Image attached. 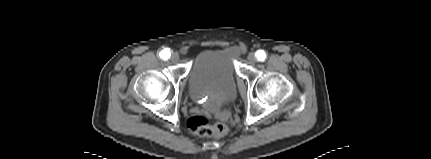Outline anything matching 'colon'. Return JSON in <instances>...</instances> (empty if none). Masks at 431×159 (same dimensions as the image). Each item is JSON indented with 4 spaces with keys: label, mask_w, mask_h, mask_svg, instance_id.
<instances>
[{
    "label": "colon",
    "mask_w": 431,
    "mask_h": 159,
    "mask_svg": "<svg viewBox=\"0 0 431 159\" xmlns=\"http://www.w3.org/2000/svg\"><path fill=\"white\" fill-rule=\"evenodd\" d=\"M189 131L193 134L209 137H222L227 132V127L222 122L211 123L209 119L202 115L196 114L189 118L187 122Z\"/></svg>",
    "instance_id": "obj_1"
}]
</instances>
